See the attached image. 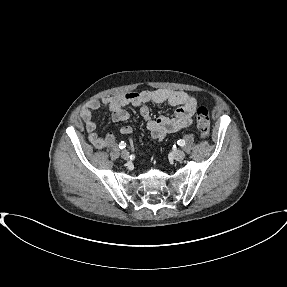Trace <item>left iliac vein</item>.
<instances>
[{"mask_svg": "<svg viewBox=\"0 0 287 287\" xmlns=\"http://www.w3.org/2000/svg\"><path fill=\"white\" fill-rule=\"evenodd\" d=\"M173 157L176 161H181L185 157V153L182 150H176L173 154Z\"/></svg>", "mask_w": 287, "mask_h": 287, "instance_id": "1", "label": "left iliac vein"}]
</instances>
